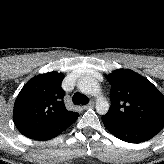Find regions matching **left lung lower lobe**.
Listing matches in <instances>:
<instances>
[{
  "mask_svg": "<svg viewBox=\"0 0 164 164\" xmlns=\"http://www.w3.org/2000/svg\"><path fill=\"white\" fill-rule=\"evenodd\" d=\"M102 121L113 135L129 143H141L157 134L148 129L125 124L109 114L102 116Z\"/></svg>",
  "mask_w": 164,
  "mask_h": 164,
  "instance_id": "0a47b994",
  "label": "left lung lower lobe"
}]
</instances>
